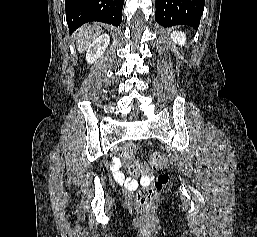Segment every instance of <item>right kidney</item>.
I'll return each mask as SVG.
<instances>
[{"label":"right kidney","instance_id":"ca27d5eb","mask_svg":"<svg viewBox=\"0 0 257 237\" xmlns=\"http://www.w3.org/2000/svg\"><path fill=\"white\" fill-rule=\"evenodd\" d=\"M109 43H110V37L108 34H103V35L99 36L98 38H96L92 42V44L88 47V50L86 53L87 62L92 64L98 58H100L102 56V54L105 52Z\"/></svg>","mask_w":257,"mask_h":237}]
</instances>
